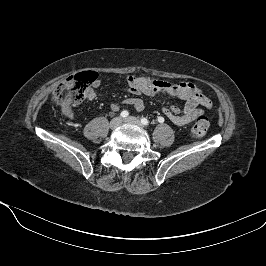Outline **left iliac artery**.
<instances>
[{
	"mask_svg": "<svg viewBox=\"0 0 266 266\" xmlns=\"http://www.w3.org/2000/svg\"><path fill=\"white\" fill-rule=\"evenodd\" d=\"M158 121H159V122H162L160 118H158ZM141 123H142L143 125L147 126V125L149 124V121H148L147 118H144V117H143V118H141Z\"/></svg>",
	"mask_w": 266,
	"mask_h": 266,
	"instance_id": "44dca946",
	"label": "left iliac artery"
}]
</instances>
